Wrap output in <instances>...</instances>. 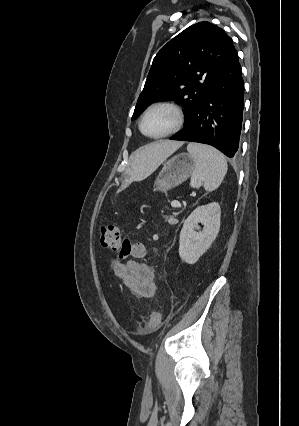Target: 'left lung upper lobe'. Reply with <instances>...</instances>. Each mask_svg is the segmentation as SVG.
<instances>
[{
    "instance_id": "1",
    "label": "left lung upper lobe",
    "mask_w": 299,
    "mask_h": 426,
    "mask_svg": "<svg viewBox=\"0 0 299 426\" xmlns=\"http://www.w3.org/2000/svg\"><path fill=\"white\" fill-rule=\"evenodd\" d=\"M236 51L232 39L209 22L194 24L155 56L132 119L156 101L174 100L186 109V123Z\"/></svg>"
}]
</instances>
